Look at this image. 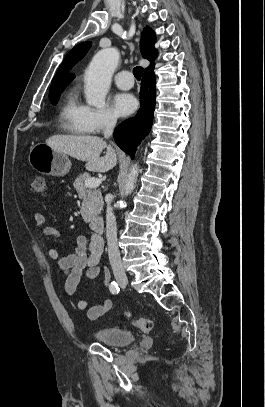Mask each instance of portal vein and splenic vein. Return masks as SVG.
Instances as JSON below:
<instances>
[{"instance_id":"18ae733b","label":"portal vein and splenic vein","mask_w":265,"mask_h":407,"mask_svg":"<svg viewBox=\"0 0 265 407\" xmlns=\"http://www.w3.org/2000/svg\"><path fill=\"white\" fill-rule=\"evenodd\" d=\"M101 184V180L98 178H90L85 181V185L89 188H96Z\"/></svg>"}]
</instances>
